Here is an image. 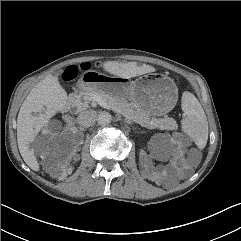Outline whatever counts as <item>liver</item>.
<instances>
[{
    "instance_id": "obj_1",
    "label": "liver",
    "mask_w": 241,
    "mask_h": 241,
    "mask_svg": "<svg viewBox=\"0 0 241 241\" xmlns=\"http://www.w3.org/2000/svg\"><path fill=\"white\" fill-rule=\"evenodd\" d=\"M102 66L108 73L127 79L155 71L152 66H138L136 62L106 61ZM66 100L67 94L60 86L58 78L47 76L32 88L21 105L17 118L18 148L25 163L34 171H39V164L34 152L29 149V144L48 122L46 117H38L37 113L41 112L44 106L52 111H63Z\"/></svg>"
}]
</instances>
